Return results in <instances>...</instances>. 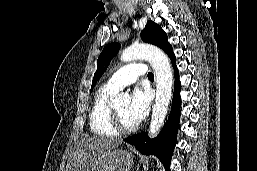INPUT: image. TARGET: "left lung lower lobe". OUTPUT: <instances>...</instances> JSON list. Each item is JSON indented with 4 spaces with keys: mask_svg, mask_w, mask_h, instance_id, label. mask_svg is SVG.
<instances>
[{
    "mask_svg": "<svg viewBox=\"0 0 257 171\" xmlns=\"http://www.w3.org/2000/svg\"><path fill=\"white\" fill-rule=\"evenodd\" d=\"M175 71L174 96L169 118L163 127L161 133L155 138L150 139L147 132L138 133L134 136L125 138L124 141L135 146V148L144 155H155L162 162L166 170L170 171V162L176 142L177 129L179 128L181 99L180 81L178 69L176 67V58L173 52L169 53Z\"/></svg>",
    "mask_w": 257,
    "mask_h": 171,
    "instance_id": "obj_1",
    "label": "left lung lower lobe"
}]
</instances>
